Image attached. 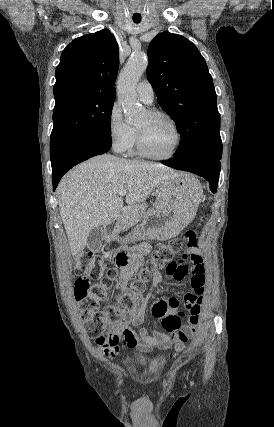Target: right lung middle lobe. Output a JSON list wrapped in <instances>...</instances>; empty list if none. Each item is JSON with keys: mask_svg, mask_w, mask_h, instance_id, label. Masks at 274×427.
I'll return each instance as SVG.
<instances>
[{"mask_svg": "<svg viewBox=\"0 0 274 427\" xmlns=\"http://www.w3.org/2000/svg\"><path fill=\"white\" fill-rule=\"evenodd\" d=\"M114 100L113 95H89L68 97L55 104L50 137L51 161L84 139H111Z\"/></svg>", "mask_w": 274, "mask_h": 427, "instance_id": "obj_1", "label": "right lung middle lobe"}]
</instances>
